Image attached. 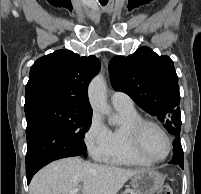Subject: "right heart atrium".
Masks as SVG:
<instances>
[{"instance_id": "d8ad5b80", "label": "right heart atrium", "mask_w": 201, "mask_h": 194, "mask_svg": "<svg viewBox=\"0 0 201 194\" xmlns=\"http://www.w3.org/2000/svg\"><path fill=\"white\" fill-rule=\"evenodd\" d=\"M90 154L101 158L108 147V130L98 114H93L84 135Z\"/></svg>"}]
</instances>
